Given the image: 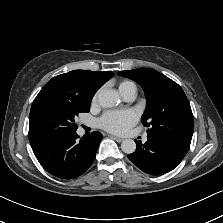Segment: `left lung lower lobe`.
<instances>
[{"instance_id":"1","label":"left lung lower lobe","mask_w":223,"mask_h":223,"mask_svg":"<svg viewBox=\"0 0 223 223\" xmlns=\"http://www.w3.org/2000/svg\"><path fill=\"white\" fill-rule=\"evenodd\" d=\"M144 145L136 141L134 153L128 155L130 161L142 171L161 175L170 172L182 161L190 144L167 136L147 134Z\"/></svg>"}]
</instances>
